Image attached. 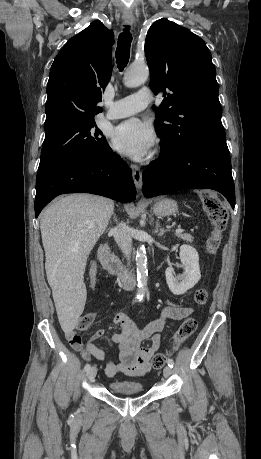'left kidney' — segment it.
Returning <instances> with one entry per match:
<instances>
[{
    "instance_id": "obj_1",
    "label": "left kidney",
    "mask_w": 261,
    "mask_h": 459,
    "mask_svg": "<svg viewBox=\"0 0 261 459\" xmlns=\"http://www.w3.org/2000/svg\"><path fill=\"white\" fill-rule=\"evenodd\" d=\"M179 255L184 273L176 277L172 267H168L165 271L168 287L175 295L184 294L193 288L201 278L199 255L196 249L190 245H182Z\"/></svg>"
}]
</instances>
